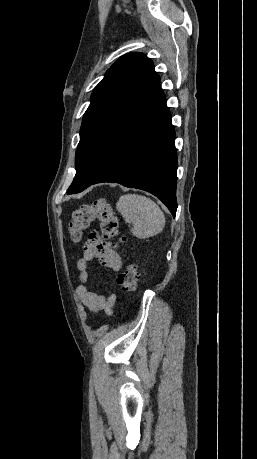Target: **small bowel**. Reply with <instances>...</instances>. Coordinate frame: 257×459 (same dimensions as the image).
<instances>
[{"instance_id": "c3829d8e", "label": "small bowel", "mask_w": 257, "mask_h": 459, "mask_svg": "<svg viewBox=\"0 0 257 459\" xmlns=\"http://www.w3.org/2000/svg\"><path fill=\"white\" fill-rule=\"evenodd\" d=\"M97 259L101 266L117 272L121 268L122 260L118 252L109 242L101 241L96 233H91L82 247V257L77 262L79 278L82 282L76 289V295L81 303L91 312L104 311L113 314L116 295L105 296L91 290L88 286L90 274L89 264Z\"/></svg>"}]
</instances>
